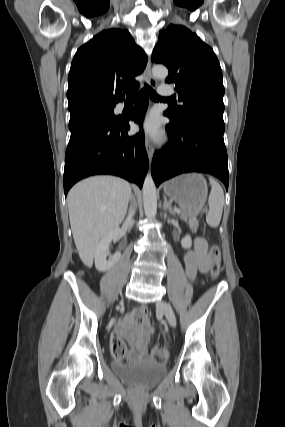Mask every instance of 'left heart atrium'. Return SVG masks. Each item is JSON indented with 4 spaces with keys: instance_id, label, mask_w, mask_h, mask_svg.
<instances>
[{
    "instance_id": "obj_1",
    "label": "left heart atrium",
    "mask_w": 285,
    "mask_h": 427,
    "mask_svg": "<svg viewBox=\"0 0 285 427\" xmlns=\"http://www.w3.org/2000/svg\"><path fill=\"white\" fill-rule=\"evenodd\" d=\"M140 130L153 138H158L160 136L159 123L155 116L148 117L140 126Z\"/></svg>"
}]
</instances>
